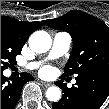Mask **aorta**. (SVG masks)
Returning <instances> with one entry per match:
<instances>
[{
  "label": "aorta",
  "mask_w": 109,
  "mask_h": 109,
  "mask_svg": "<svg viewBox=\"0 0 109 109\" xmlns=\"http://www.w3.org/2000/svg\"><path fill=\"white\" fill-rule=\"evenodd\" d=\"M29 47L36 53L47 52L52 45L51 36L45 31H35L28 40ZM46 97L51 102H58L61 99V90L57 86H51L46 91Z\"/></svg>",
  "instance_id": "762f6f07"
}]
</instances>
